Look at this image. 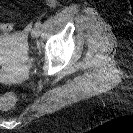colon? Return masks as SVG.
Wrapping results in <instances>:
<instances>
[{"label": "colon", "instance_id": "5ec220e1", "mask_svg": "<svg viewBox=\"0 0 133 133\" xmlns=\"http://www.w3.org/2000/svg\"><path fill=\"white\" fill-rule=\"evenodd\" d=\"M9 26L13 28V26L11 24H9ZM3 101L6 105V107L10 108L15 104L16 97L13 93L8 92V93L4 94Z\"/></svg>", "mask_w": 133, "mask_h": 133}]
</instances>
